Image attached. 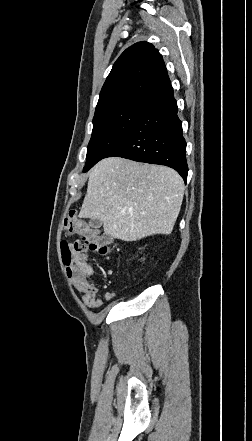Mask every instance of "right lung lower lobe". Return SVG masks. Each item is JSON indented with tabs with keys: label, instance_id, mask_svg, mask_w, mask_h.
Returning <instances> with one entry per match:
<instances>
[{
	"label": "right lung lower lobe",
	"instance_id": "right-lung-lower-lobe-1",
	"mask_svg": "<svg viewBox=\"0 0 252 441\" xmlns=\"http://www.w3.org/2000/svg\"><path fill=\"white\" fill-rule=\"evenodd\" d=\"M177 112L169 83L145 99V107L135 126L106 157L165 165L175 169L186 182V142Z\"/></svg>",
	"mask_w": 252,
	"mask_h": 441
}]
</instances>
